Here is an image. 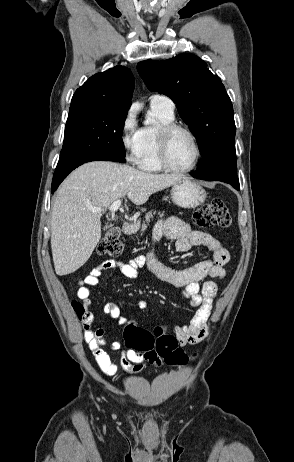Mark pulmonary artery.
<instances>
[{"label":"pulmonary artery","mask_w":294,"mask_h":462,"mask_svg":"<svg viewBox=\"0 0 294 462\" xmlns=\"http://www.w3.org/2000/svg\"><path fill=\"white\" fill-rule=\"evenodd\" d=\"M150 105L152 107H158L168 112L173 113L175 109L174 102L165 95L155 94L150 97Z\"/></svg>","instance_id":"1"}]
</instances>
